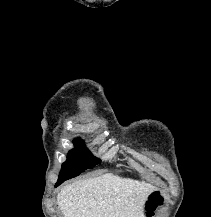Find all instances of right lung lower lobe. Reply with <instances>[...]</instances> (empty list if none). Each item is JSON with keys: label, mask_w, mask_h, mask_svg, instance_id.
<instances>
[{"label": "right lung lower lobe", "mask_w": 211, "mask_h": 217, "mask_svg": "<svg viewBox=\"0 0 211 217\" xmlns=\"http://www.w3.org/2000/svg\"><path fill=\"white\" fill-rule=\"evenodd\" d=\"M62 182H63L62 180H58V182L56 183V185H55V186H58V185H60Z\"/></svg>", "instance_id": "right-lung-lower-lobe-1"}]
</instances>
